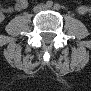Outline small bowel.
I'll use <instances>...</instances> for the list:
<instances>
[{
	"label": "small bowel",
	"instance_id": "c3829d8e",
	"mask_svg": "<svg viewBox=\"0 0 91 91\" xmlns=\"http://www.w3.org/2000/svg\"><path fill=\"white\" fill-rule=\"evenodd\" d=\"M28 6L27 0H17L12 7L5 8V12H12L13 10H23ZM79 14H85L87 12V6L81 5L77 8Z\"/></svg>",
	"mask_w": 91,
	"mask_h": 91
}]
</instances>
